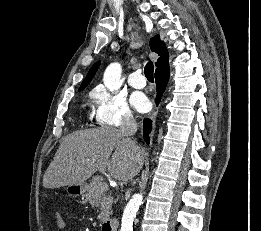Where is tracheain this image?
<instances>
[{
    "label": "trachea",
    "instance_id": "3493384b",
    "mask_svg": "<svg viewBox=\"0 0 261 231\" xmlns=\"http://www.w3.org/2000/svg\"><path fill=\"white\" fill-rule=\"evenodd\" d=\"M153 72H154L153 63L150 61L146 64L145 70H144L145 76L149 81L154 80Z\"/></svg>",
    "mask_w": 261,
    "mask_h": 231
}]
</instances>
